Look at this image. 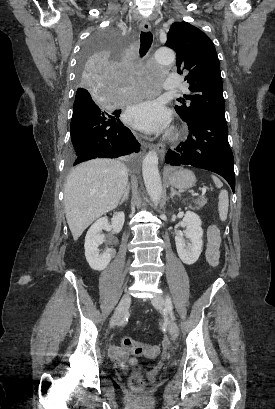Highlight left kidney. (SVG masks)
Returning a JSON list of instances; mask_svg holds the SVG:
<instances>
[{"instance_id": "obj_1", "label": "left kidney", "mask_w": 275, "mask_h": 409, "mask_svg": "<svg viewBox=\"0 0 275 409\" xmlns=\"http://www.w3.org/2000/svg\"><path fill=\"white\" fill-rule=\"evenodd\" d=\"M183 223L186 225V231L177 233L175 237L176 249L179 259L185 265H193L198 261L203 247V231L201 229V219L196 213L187 211ZM189 239L190 243H186L185 239Z\"/></svg>"}]
</instances>
